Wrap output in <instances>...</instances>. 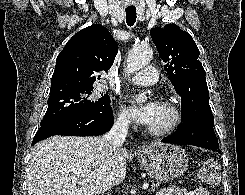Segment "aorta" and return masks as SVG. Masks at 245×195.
Masks as SVG:
<instances>
[{
  "instance_id": "obj_1",
  "label": "aorta",
  "mask_w": 245,
  "mask_h": 195,
  "mask_svg": "<svg viewBox=\"0 0 245 195\" xmlns=\"http://www.w3.org/2000/svg\"><path fill=\"white\" fill-rule=\"evenodd\" d=\"M153 52L148 46L137 45L134 46L129 52L126 59V72L134 73L148 65L152 59ZM147 97L145 95H139L138 102H145Z\"/></svg>"
}]
</instances>
